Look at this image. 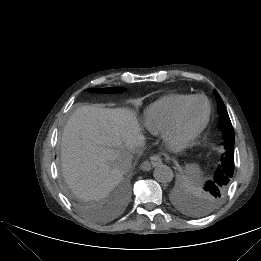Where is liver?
Segmentation results:
<instances>
[{
	"mask_svg": "<svg viewBox=\"0 0 261 261\" xmlns=\"http://www.w3.org/2000/svg\"><path fill=\"white\" fill-rule=\"evenodd\" d=\"M137 119L126 108L84 105L67 121L61 139L62 172L79 198L106 197L123 179L118 158L144 146Z\"/></svg>",
	"mask_w": 261,
	"mask_h": 261,
	"instance_id": "obj_1",
	"label": "liver"
}]
</instances>
